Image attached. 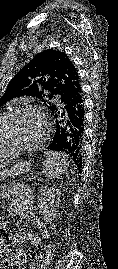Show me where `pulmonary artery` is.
<instances>
[{"instance_id": "pulmonary-artery-1", "label": "pulmonary artery", "mask_w": 118, "mask_h": 269, "mask_svg": "<svg viewBox=\"0 0 118 269\" xmlns=\"http://www.w3.org/2000/svg\"><path fill=\"white\" fill-rule=\"evenodd\" d=\"M55 102H56V103H60V100L56 97V98H55Z\"/></svg>"}]
</instances>
